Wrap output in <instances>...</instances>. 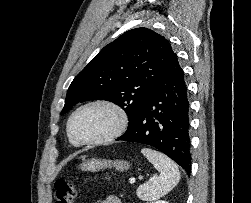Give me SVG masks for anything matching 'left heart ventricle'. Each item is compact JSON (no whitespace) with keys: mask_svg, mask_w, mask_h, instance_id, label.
Returning a JSON list of instances; mask_svg holds the SVG:
<instances>
[{"mask_svg":"<svg viewBox=\"0 0 251 203\" xmlns=\"http://www.w3.org/2000/svg\"><path fill=\"white\" fill-rule=\"evenodd\" d=\"M116 124V116L104 107H90L80 111L74 118L72 128L80 139H95L109 133Z\"/></svg>","mask_w":251,"mask_h":203,"instance_id":"left-heart-ventricle-1","label":"left heart ventricle"}]
</instances>
